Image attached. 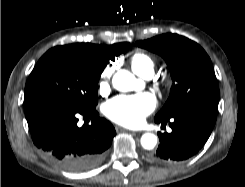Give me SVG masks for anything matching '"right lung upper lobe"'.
I'll return each mask as SVG.
<instances>
[{"label": "right lung upper lobe", "mask_w": 245, "mask_h": 187, "mask_svg": "<svg viewBox=\"0 0 245 187\" xmlns=\"http://www.w3.org/2000/svg\"><path fill=\"white\" fill-rule=\"evenodd\" d=\"M97 46L107 47V48H114V49H117V48L124 49L125 48V50H126L129 47V43H118V44H114V45H111V46H101V45H97Z\"/></svg>", "instance_id": "obj_1"}]
</instances>
